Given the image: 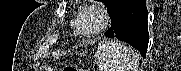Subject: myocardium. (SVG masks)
Instances as JSON below:
<instances>
[{"instance_id": "1", "label": "myocardium", "mask_w": 181, "mask_h": 71, "mask_svg": "<svg viewBox=\"0 0 181 71\" xmlns=\"http://www.w3.org/2000/svg\"><path fill=\"white\" fill-rule=\"evenodd\" d=\"M93 15L96 19V24L89 30H83L81 28V23L86 15ZM109 23L108 13L101 7L97 5H88L83 7L73 23V31L76 35L84 38L95 36L101 33Z\"/></svg>"}]
</instances>
